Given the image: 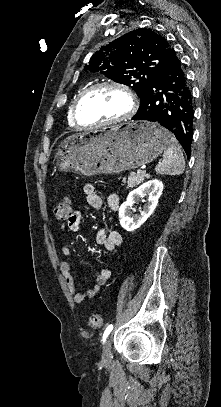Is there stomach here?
<instances>
[{
	"label": "stomach",
	"mask_w": 221,
	"mask_h": 407,
	"mask_svg": "<svg viewBox=\"0 0 221 407\" xmlns=\"http://www.w3.org/2000/svg\"><path fill=\"white\" fill-rule=\"evenodd\" d=\"M167 130L148 121H132L66 137L55 159L60 171L84 176L117 174L156 159L169 143Z\"/></svg>",
	"instance_id": "0dacf381"
}]
</instances>
